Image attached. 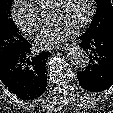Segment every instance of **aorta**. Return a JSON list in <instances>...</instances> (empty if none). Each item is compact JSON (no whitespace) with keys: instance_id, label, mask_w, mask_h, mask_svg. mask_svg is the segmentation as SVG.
<instances>
[{"instance_id":"obj_1","label":"aorta","mask_w":113,"mask_h":113,"mask_svg":"<svg viewBox=\"0 0 113 113\" xmlns=\"http://www.w3.org/2000/svg\"><path fill=\"white\" fill-rule=\"evenodd\" d=\"M70 63L77 69H85L89 64V55L78 45H73L69 51Z\"/></svg>"}]
</instances>
